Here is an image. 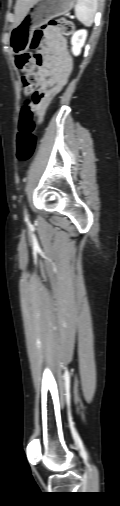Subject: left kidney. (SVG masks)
<instances>
[{
	"instance_id": "5707ae66",
	"label": "left kidney",
	"mask_w": 120,
	"mask_h": 506,
	"mask_svg": "<svg viewBox=\"0 0 120 506\" xmlns=\"http://www.w3.org/2000/svg\"><path fill=\"white\" fill-rule=\"evenodd\" d=\"M86 37H87L86 30H78L73 34L71 38V44H72V52L74 55L80 54L81 48L85 43Z\"/></svg>"
}]
</instances>
